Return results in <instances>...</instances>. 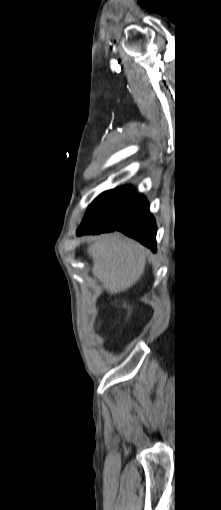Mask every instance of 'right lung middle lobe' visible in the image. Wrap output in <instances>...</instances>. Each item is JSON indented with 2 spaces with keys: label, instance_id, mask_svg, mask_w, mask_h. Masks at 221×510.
Here are the masks:
<instances>
[{
  "label": "right lung middle lobe",
  "instance_id": "1",
  "mask_svg": "<svg viewBox=\"0 0 221 510\" xmlns=\"http://www.w3.org/2000/svg\"><path fill=\"white\" fill-rule=\"evenodd\" d=\"M132 194L131 186H124L106 191L99 195L91 204L94 212L112 220L120 219Z\"/></svg>",
  "mask_w": 221,
  "mask_h": 510
}]
</instances>
